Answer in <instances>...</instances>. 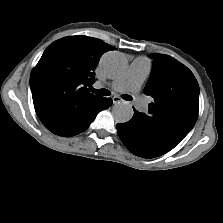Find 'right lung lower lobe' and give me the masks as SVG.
Here are the masks:
<instances>
[{"mask_svg": "<svg viewBox=\"0 0 223 223\" xmlns=\"http://www.w3.org/2000/svg\"><path fill=\"white\" fill-rule=\"evenodd\" d=\"M112 104V100L109 98H102V100L97 104L95 111L93 113V116L91 118V120H89L86 124H84L82 127H80L79 129H76L74 131H68V132H63V131H52L50 129V131L56 135L59 136H65V137H70L76 134L81 133L82 131L86 130L88 128V126L90 125V123L95 119L96 115L104 109H107L110 105Z\"/></svg>", "mask_w": 223, "mask_h": 223, "instance_id": "right-lung-lower-lobe-1", "label": "right lung lower lobe"}]
</instances>
